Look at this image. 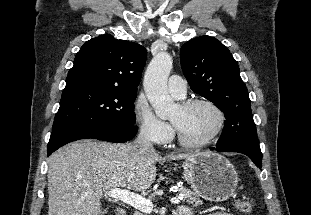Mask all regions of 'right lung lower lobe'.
<instances>
[{
  "label": "right lung lower lobe",
  "instance_id": "98d812e1",
  "mask_svg": "<svg viewBox=\"0 0 311 215\" xmlns=\"http://www.w3.org/2000/svg\"><path fill=\"white\" fill-rule=\"evenodd\" d=\"M137 126L127 129L103 127H69L52 131L47 146L48 156L59 147L80 139L94 138L109 142H126L137 133Z\"/></svg>",
  "mask_w": 311,
  "mask_h": 215
}]
</instances>
